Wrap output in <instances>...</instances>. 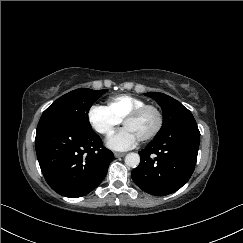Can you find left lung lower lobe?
<instances>
[{
	"label": "left lung lower lobe",
	"mask_w": 243,
	"mask_h": 243,
	"mask_svg": "<svg viewBox=\"0 0 243 243\" xmlns=\"http://www.w3.org/2000/svg\"><path fill=\"white\" fill-rule=\"evenodd\" d=\"M200 132L195 120L156 136L139 152L140 164L132 179L145 192L164 196L180 189L191 177L198 154Z\"/></svg>",
	"instance_id": "1"
}]
</instances>
